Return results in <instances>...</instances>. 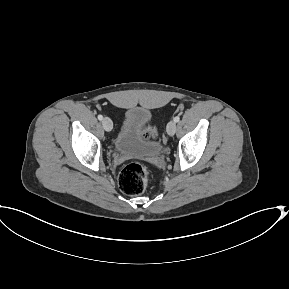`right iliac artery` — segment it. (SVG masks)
<instances>
[{"label":"right iliac artery","mask_w":289,"mask_h":289,"mask_svg":"<svg viewBox=\"0 0 289 289\" xmlns=\"http://www.w3.org/2000/svg\"><path fill=\"white\" fill-rule=\"evenodd\" d=\"M98 119L101 121L103 120V116L101 114L98 115Z\"/></svg>","instance_id":"82829eb1"}]
</instances>
